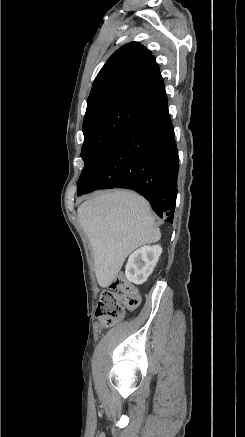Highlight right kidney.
<instances>
[{"label": "right kidney", "instance_id": "1", "mask_svg": "<svg viewBox=\"0 0 245 437\" xmlns=\"http://www.w3.org/2000/svg\"><path fill=\"white\" fill-rule=\"evenodd\" d=\"M161 253L162 248L159 245L144 246L133 252L126 264V278L138 285L146 282L153 272Z\"/></svg>", "mask_w": 245, "mask_h": 437}]
</instances>
